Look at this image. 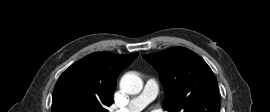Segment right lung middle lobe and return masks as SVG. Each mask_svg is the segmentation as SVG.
<instances>
[{
  "label": "right lung middle lobe",
  "mask_w": 270,
  "mask_h": 112,
  "mask_svg": "<svg viewBox=\"0 0 270 112\" xmlns=\"http://www.w3.org/2000/svg\"><path fill=\"white\" fill-rule=\"evenodd\" d=\"M91 110L82 104L69 102L63 106L62 112H90Z\"/></svg>",
  "instance_id": "right-lung-middle-lobe-1"
}]
</instances>
